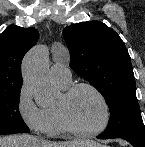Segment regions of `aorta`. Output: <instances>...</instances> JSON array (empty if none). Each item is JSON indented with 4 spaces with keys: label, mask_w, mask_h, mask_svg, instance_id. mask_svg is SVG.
<instances>
[{
    "label": "aorta",
    "mask_w": 145,
    "mask_h": 147,
    "mask_svg": "<svg viewBox=\"0 0 145 147\" xmlns=\"http://www.w3.org/2000/svg\"><path fill=\"white\" fill-rule=\"evenodd\" d=\"M24 83L33 91L37 104L48 102L55 95L48 68V50L43 45L33 47L22 64Z\"/></svg>",
    "instance_id": "aorta-1"
}]
</instances>
